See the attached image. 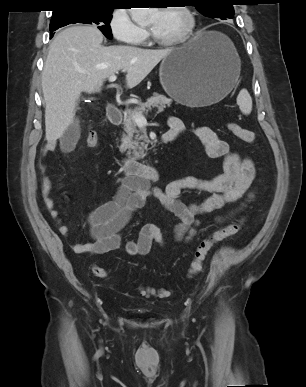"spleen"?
Segmentation results:
<instances>
[{"label": "spleen", "mask_w": 306, "mask_h": 387, "mask_svg": "<svg viewBox=\"0 0 306 387\" xmlns=\"http://www.w3.org/2000/svg\"><path fill=\"white\" fill-rule=\"evenodd\" d=\"M237 104L244 115H249L252 111V99L247 89H242L237 96Z\"/></svg>", "instance_id": "spleen-1"}]
</instances>
